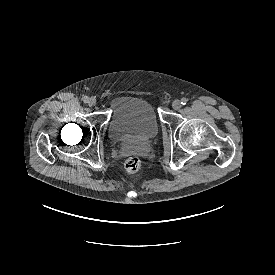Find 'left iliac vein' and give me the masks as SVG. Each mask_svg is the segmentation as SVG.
I'll list each match as a JSON object with an SVG mask.
<instances>
[{"instance_id":"1","label":"left iliac vein","mask_w":275,"mask_h":275,"mask_svg":"<svg viewBox=\"0 0 275 275\" xmlns=\"http://www.w3.org/2000/svg\"><path fill=\"white\" fill-rule=\"evenodd\" d=\"M172 107L174 110H179L182 107V105L179 100H174L172 103Z\"/></svg>"}]
</instances>
